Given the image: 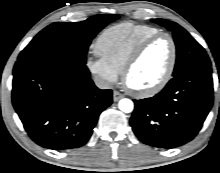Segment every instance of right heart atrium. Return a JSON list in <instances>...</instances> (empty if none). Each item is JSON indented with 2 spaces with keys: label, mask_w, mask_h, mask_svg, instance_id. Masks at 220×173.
<instances>
[{
  "label": "right heart atrium",
  "mask_w": 220,
  "mask_h": 173,
  "mask_svg": "<svg viewBox=\"0 0 220 173\" xmlns=\"http://www.w3.org/2000/svg\"><path fill=\"white\" fill-rule=\"evenodd\" d=\"M87 67L104 85H112L118 79L119 73L101 57H89L87 59Z\"/></svg>",
  "instance_id": "obj_1"
}]
</instances>
